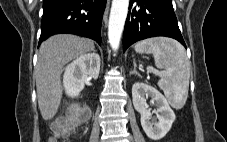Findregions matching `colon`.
<instances>
[{
  "mask_svg": "<svg viewBox=\"0 0 227 142\" xmlns=\"http://www.w3.org/2000/svg\"><path fill=\"white\" fill-rule=\"evenodd\" d=\"M84 121V116L80 113H73L68 118L56 119L52 125V137L50 142H58L66 139L73 132L76 125Z\"/></svg>",
  "mask_w": 227,
  "mask_h": 142,
  "instance_id": "colon-1",
  "label": "colon"
}]
</instances>
